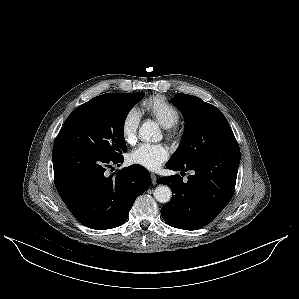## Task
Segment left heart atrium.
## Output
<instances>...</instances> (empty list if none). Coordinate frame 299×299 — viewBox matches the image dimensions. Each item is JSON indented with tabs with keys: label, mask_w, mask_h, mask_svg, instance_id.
Listing matches in <instances>:
<instances>
[{
	"label": "left heart atrium",
	"mask_w": 299,
	"mask_h": 299,
	"mask_svg": "<svg viewBox=\"0 0 299 299\" xmlns=\"http://www.w3.org/2000/svg\"><path fill=\"white\" fill-rule=\"evenodd\" d=\"M169 157V149L166 145L140 144L129 155L130 161L148 170L158 169Z\"/></svg>",
	"instance_id": "left-heart-atrium-1"
}]
</instances>
